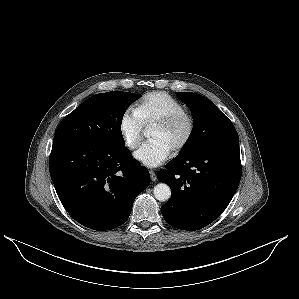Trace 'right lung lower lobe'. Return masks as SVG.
Wrapping results in <instances>:
<instances>
[{"mask_svg": "<svg viewBox=\"0 0 299 299\" xmlns=\"http://www.w3.org/2000/svg\"><path fill=\"white\" fill-rule=\"evenodd\" d=\"M49 170L66 211L97 231L122 225L150 183L148 170L125 147L110 149L66 137L54 138Z\"/></svg>", "mask_w": 299, "mask_h": 299, "instance_id": "right-lung-lower-lobe-1", "label": "right lung lower lobe"}]
</instances>
